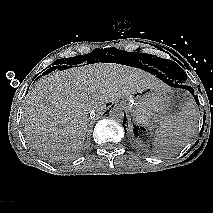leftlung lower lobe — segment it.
Returning a JSON list of instances; mask_svg holds the SVG:
<instances>
[{
  "instance_id": "0a47b994",
  "label": "left lung lower lobe",
  "mask_w": 213,
  "mask_h": 213,
  "mask_svg": "<svg viewBox=\"0 0 213 213\" xmlns=\"http://www.w3.org/2000/svg\"><path fill=\"white\" fill-rule=\"evenodd\" d=\"M154 72H155V75H156L157 77H159L161 80H163V81L166 82L167 84H169V85H171V86H173V87L187 89V90H189V92L194 96V90H193V88H191V87H189V86H186V85H183V84H181V83H178V82L174 81V80L171 79V78L169 77V75L166 74V73L158 72V71H156V70H154ZM194 98H195V100H196V103L198 104L199 102H198V99L196 98V96H194ZM126 120H127V119H126L125 114H124V124H126ZM124 124H123V126L125 127ZM127 125H128V124H127ZM134 129H135V128H134ZM134 132H135V133H138V132H136L135 130H134Z\"/></svg>"
}]
</instances>
